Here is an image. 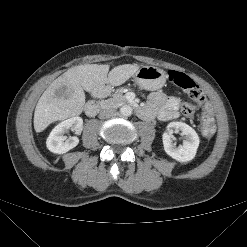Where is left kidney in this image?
<instances>
[{
	"label": "left kidney",
	"instance_id": "1",
	"mask_svg": "<svg viewBox=\"0 0 247 247\" xmlns=\"http://www.w3.org/2000/svg\"><path fill=\"white\" fill-rule=\"evenodd\" d=\"M173 132H181L184 136L182 145L176 146L172 143L171 134ZM163 145L165 152L170 157L179 162H187L192 160L197 153L199 137L196 131L186 123L171 122L163 134Z\"/></svg>",
	"mask_w": 247,
	"mask_h": 247
}]
</instances>
